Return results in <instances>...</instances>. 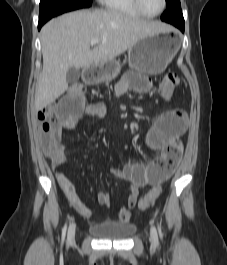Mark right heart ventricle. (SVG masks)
Listing matches in <instances>:
<instances>
[{
    "instance_id": "right-heart-ventricle-1",
    "label": "right heart ventricle",
    "mask_w": 227,
    "mask_h": 265,
    "mask_svg": "<svg viewBox=\"0 0 227 265\" xmlns=\"http://www.w3.org/2000/svg\"><path fill=\"white\" fill-rule=\"evenodd\" d=\"M109 11L131 17H140L141 14L135 8L132 0H100Z\"/></svg>"
}]
</instances>
